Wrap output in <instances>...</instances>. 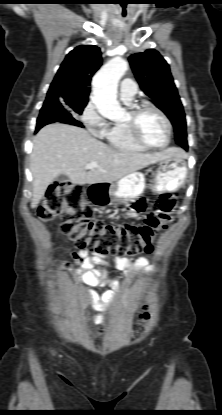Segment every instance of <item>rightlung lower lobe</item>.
I'll use <instances>...</instances> for the list:
<instances>
[{
    "label": "right lung lower lobe",
    "mask_w": 222,
    "mask_h": 415,
    "mask_svg": "<svg viewBox=\"0 0 222 415\" xmlns=\"http://www.w3.org/2000/svg\"><path fill=\"white\" fill-rule=\"evenodd\" d=\"M54 122L69 123L83 127V125L75 120L62 106L58 105L51 108L43 106L37 119L36 132L43 126Z\"/></svg>",
    "instance_id": "1"
}]
</instances>
